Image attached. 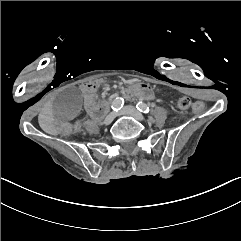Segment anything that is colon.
Segmentation results:
<instances>
[{"instance_id": "colon-1", "label": "colon", "mask_w": 241, "mask_h": 241, "mask_svg": "<svg viewBox=\"0 0 241 241\" xmlns=\"http://www.w3.org/2000/svg\"><path fill=\"white\" fill-rule=\"evenodd\" d=\"M190 105L195 113H202L209 107L208 102L205 100L201 101L199 99H196L192 102V104L191 101L185 97H181L177 100V107H179L180 109H188Z\"/></svg>"}]
</instances>
